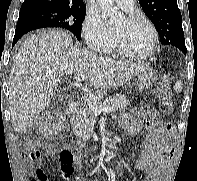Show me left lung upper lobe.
<instances>
[{"label": "left lung upper lobe", "instance_id": "1", "mask_svg": "<svg viewBox=\"0 0 197 181\" xmlns=\"http://www.w3.org/2000/svg\"><path fill=\"white\" fill-rule=\"evenodd\" d=\"M139 3L154 24L163 45L186 48L177 0H139Z\"/></svg>", "mask_w": 197, "mask_h": 181}]
</instances>
